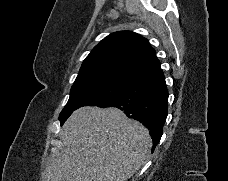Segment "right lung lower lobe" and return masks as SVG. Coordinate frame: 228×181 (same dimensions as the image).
<instances>
[{"mask_svg": "<svg viewBox=\"0 0 228 181\" xmlns=\"http://www.w3.org/2000/svg\"><path fill=\"white\" fill-rule=\"evenodd\" d=\"M168 91L160 65L131 79L112 99L98 107H117L140 123L150 132L154 151L163 133L168 114Z\"/></svg>", "mask_w": 228, "mask_h": 181, "instance_id": "1", "label": "right lung lower lobe"}]
</instances>
